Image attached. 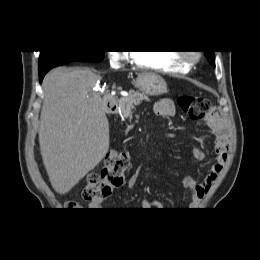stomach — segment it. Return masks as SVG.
Wrapping results in <instances>:
<instances>
[{"instance_id":"obj_1","label":"stomach","mask_w":260,"mask_h":260,"mask_svg":"<svg viewBox=\"0 0 260 260\" xmlns=\"http://www.w3.org/2000/svg\"><path fill=\"white\" fill-rule=\"evenodd\" d=\"M135 87L145 95L159 96L168 91L166 81L159 75L142 73L138 75Z\"/></svg>"}]
</instances>
